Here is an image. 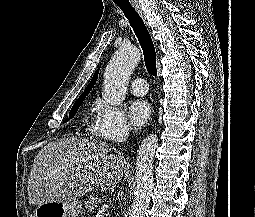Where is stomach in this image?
I'll use <instances>...</instances> for the list:
<instances>
[{
    "label": "stomach",
    "mask_w": 255,
    "mask_h": 217,
    "mask_svg": "<svg viewBox=\"0 0 255 217\" xmlns=\"http://www.w3.org/2000/svg\"><path fill=\"white\" fill-rule=\"evenodd\" d=\"M82 204L76 199L52 201L38 205L34 217H78Z\"/></svg>",
    "instance_id": "1"
}]
</instances>
